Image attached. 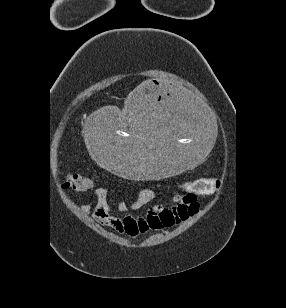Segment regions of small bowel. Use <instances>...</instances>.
<instances>
[{
  "label": "small bowel",
  "mask_w": 286,
  "mask_h": 308,
  "mask_svg": "<svg viewBox=\"0 0 286 308\" xmlns=\"http://www.w3.org/2000/svg\"><path fill=\"white\" fill-rule=\"evenodd\" d=\"M184 192L177 195L175 203L170 207L155 206L146 215L135 213L150 203L156 197L154 190L141 189L134 201L129 205L119 202L115 209L107 203V189L98 187L95 190V201L80 206V211L89 212L93 220L101 225L109 227L116 232L136 239L150 231H160L171 228L187 221L199 211L197 193L189 188V184L183 185Z\"/></svg>",
  "instance_id": "c3829d8e"
}]
</instances>
